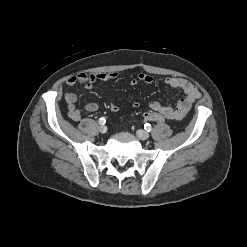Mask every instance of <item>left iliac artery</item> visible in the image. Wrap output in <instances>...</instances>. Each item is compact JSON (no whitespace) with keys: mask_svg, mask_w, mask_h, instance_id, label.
Returning a JSON list of instances; mask_svg holds the SVG:
<instances>
[{"mask_svg":"<svg viewBox=\"0 0 247 247\" xmlns=\"http://www.w3.org/2000/svg\"><path fill=\"white\" fill-rule=\"evenodd\" d=\"M144 128H145V130H147L148 132H150L151 129H152V126H151L149 123H146V124L144 125Z\"/></svg>","mask_w":247,"mask_h":247,"instance_id":"left-iliac-artery-1","label":"left iliac artery"}]
</instances>
